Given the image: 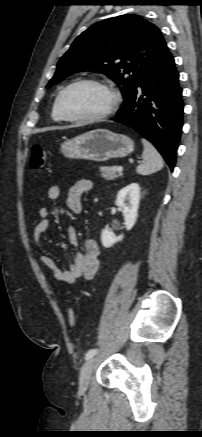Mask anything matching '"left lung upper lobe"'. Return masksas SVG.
<instances>
[{"label": "left lung upper lobe", "mask_w": 202, "mask_h": 437, "mask_svg": "<svg viewBox=\"0 0 202 437\" xmlns=\"http://www.w3.org/2000/svg\"><path fill=\"white\" fill-rule=\"evenodd\" d=\"M157 26L139 15L101 21L83 33L61 57L47 88L69 75L91 70L105 73L122 92L125 103L144 76L167 51Z\"/></svg>", "instance_id": "obj_1"}]
</instances>
